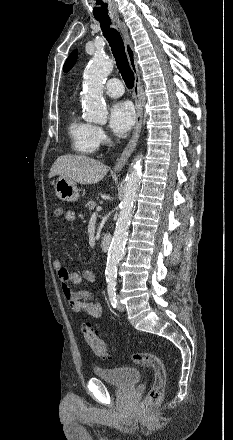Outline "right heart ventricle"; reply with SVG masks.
Wrapping results in <instances>:
<instances>
[{
	"instance_id": "1",
	"label": "right heart ventricle",
	"mask_w": 233,
	"mask_h": 440,
	"mask_svg": "<svg viewBox=\"0 0 233 440\" xmlns=\"http://www.w3.org/2000/svg\"><path fill=\"white\" fill-rule=\"evenodd\" d=\"M68 136L73 150L83 156L94 155L98 151L95 138V126L82 120L77 111H71L67 125Z\"/></svg>"
}]
</instances>
